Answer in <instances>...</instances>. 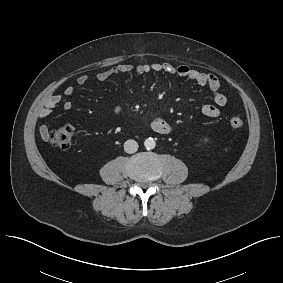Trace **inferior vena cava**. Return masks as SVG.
Masks as SVG:
<instances>
[{
  "label": "inferior vena cava",
  "mask_w": 283,
  "mask_h": 283,
  "mask_svg": "<svg viewBox=\"0 0 283 283\" xmlns=\"http://www.w3.org/2000/svg\"><path fill=\"white\" fill-rule=\"evenodd\" d=\"M126 153L132 154L138 150V143L135 140L129 139L124 143Z\"/></svg>",
  "instance_id": "inferior-vena-cava-1"
}]
</instances>
